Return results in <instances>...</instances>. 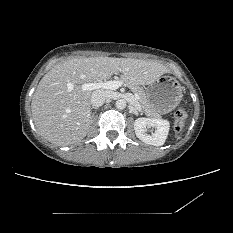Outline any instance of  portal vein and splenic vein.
<instances>
[{
	"label": "portal vein and splenic vein",
	"instance_id": "portal-vein-and-splenic-vein-1",
	"mask_svg": "<svg viewBox=\"0 0 233 233\" xmlns=\"http://www.w3.org/2000/svg\"><path fill=\"white\" fill-rule=\"evenodd\" d=\"M122 81H107V82H90L82 85L83 90L92 91L95 89H110L116 90L122 86ZM134 93V92H133ZM135 99H139L138 94L134 93Z\"/></svg>",
	"mask_w": 233,
	"mask_h": 233
}]
</instances>
